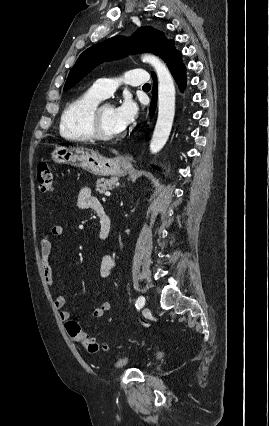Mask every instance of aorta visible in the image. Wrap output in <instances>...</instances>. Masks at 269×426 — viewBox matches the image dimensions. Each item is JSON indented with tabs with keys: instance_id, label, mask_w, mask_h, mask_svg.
I'll use <instances>...</instances> for the list:
<instances>
[{
	"instance_id": "1",
	"label": "aorta",
	"mask_w": 269,
	"mask_h": 426,
	"mask_svg": "<svg viewBox=\"0 0 269 426\" xmlns=\"http://www.w3.org/2000/svg\"><path fill=\"white\" fill-rule=\"evenodd\" d=\"M142 61L149 63L158 78V118L150 142V151L159 152L166 144L175 115V86L165 63L153 54H144Z\"/></svg>"
}]
</instances>
